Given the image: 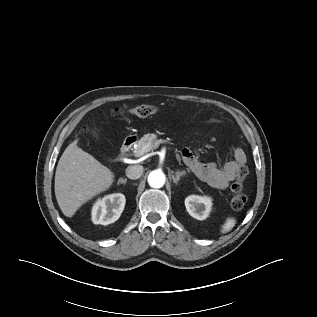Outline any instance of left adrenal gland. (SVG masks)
Wrapping results in <instances>:
<instances>
[{"label":"left adrenal gland","mask_w":317,"mask_h":317,"mask_svg":"<svg viewBox=\"0 0 317 317\" xmlns=\"http://www.w3.org/2000/svg\"><path fill=\"white\" fill-rule=\"evenodd\" d=\"M185 174H186L185 171H177V172L175 173V175H172L173 182H174L175 184H177L178 181L180 180V177L183 176V175H185Z\"/></svg>","instance_id":"1"}]
</instances>
